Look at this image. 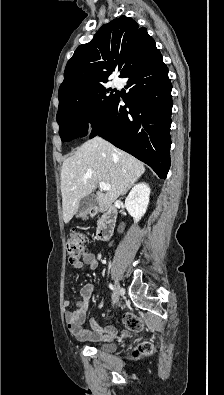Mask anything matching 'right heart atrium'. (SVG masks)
Segmentation results:
<instances>
[{
  "label": "right heart atrium",
  "instance_id": "d8ad5b80",
  "mask_svg": "<svg viewBox=\"0 0 224 395\" xmlns=\"http://www.w3.org/2000/svg\"><path fill=\"white\" fill-rule=\"evenodd\" d=\"M93 123H94V116L92 112L90 111L85 112L80 120L81 127L84 129H89L92 127Z\"/></svg>",
  "mask_w": 224,
  "mask_h": 395
}]
</instances>
